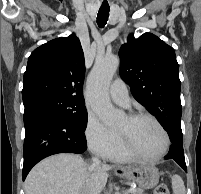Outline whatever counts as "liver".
Listing matches in <instances>:
<instances>
[{"label":"liver","instance_id":"6515ba94","mask_svg":"<svg viewBox=\"0 0 201 194\" xmlns=\"http://www.w3.org/2000/svg\"><path fill=\"white\" fill-rule=\"evenodd\" d=\"M110 169L106 164H87L79 155H54L30 171L25 194H100Z\"/></svg>","mask_w":201,"mask_h":194}]
</instances>
